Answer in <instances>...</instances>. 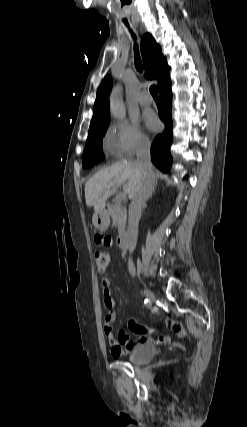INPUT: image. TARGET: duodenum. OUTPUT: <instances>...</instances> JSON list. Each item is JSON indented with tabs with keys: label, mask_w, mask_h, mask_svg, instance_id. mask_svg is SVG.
Wrapping results in <instances>:
<instances>
[{
	"label": "duodenum",
	"mask_w": 247,
	"mask_h": 427,
	"mask_svg": "<svg viewBox=\"0 0 247 427\" xmlns=\"http://www.w3.org/2000/svg\"><path fill=\"white\" fill-rule=\"evenodd\" d=\"M117 245L120 250H126L128 248V240L125 234H120L118 236Z\"/></svg>",
	"instance_id": "1"
}]
</instances>
